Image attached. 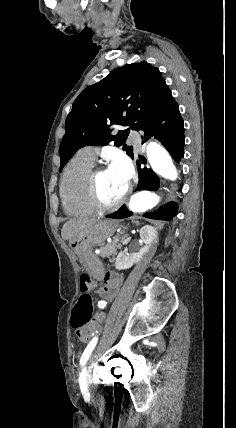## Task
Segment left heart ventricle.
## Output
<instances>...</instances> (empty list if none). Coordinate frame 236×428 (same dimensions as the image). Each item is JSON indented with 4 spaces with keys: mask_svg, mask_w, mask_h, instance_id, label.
<instances>
[{
    "mask_svg": "<svg viewBox=\"0 0 236 428\" xmlns=\"http://www.w3.org/2000/svg\"><path fill=\"white\" fill-rule=\"evenodd\" d=\"M128 184L123 174L109 169L99 180V191L105 201L114 202L125 193Z\"/></svg>",
    "mask_w": 236,
    "mask_h": 428,
    "instance_id": "obj_1",
    "label": "left heart ventricle"
}]
</instances>
